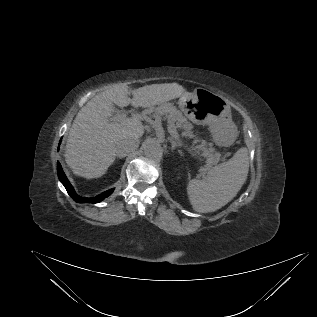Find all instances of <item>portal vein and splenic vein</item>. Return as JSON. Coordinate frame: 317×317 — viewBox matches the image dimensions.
I'll return each instance as SVG.
<instances>
[{"mask_svg": "<svg viewBox=\"0 0 317 317\" xmlns=\"http://www.w3.org/2000/svg\"><path fill=\"white\" fill-rule=\"evenodd\" d=\"M126 118V114H124V113H117V114H115L112 118H111V120L112 121H121V120H124ZM169 132L171 133V134H173L175 137H178V135H177V132H176V129L172 126V125H169Z\"/></svg>", "mask_w": 317, "mask_h": 317, "instance_id": "portal-vein-and-splenic-vein-1", "label": "portal vein and splenic vein"}]
</instances>
